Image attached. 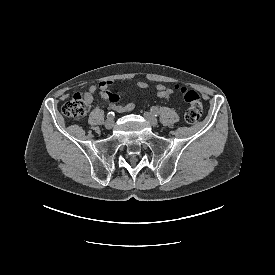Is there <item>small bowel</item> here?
Masks as SVG:
<instances>
[{"instance_id":"c3829d8e","label":"small bowel","mask_w":275,"mask_h":275,"mask_svg":"<svg viewBox=\"0 0 275 275\" xmlns=\"http://www.w3.org/2000/svg\"><path fill=\"white\" fill-rule=\"evenodd\" d=\"M113 84V81H102L98 85H92L84 93V96L88 98L90 102H92L93 96L98 93L104 100L108 102L109 106L115 111L119 113L132 111L135 108L136 103L133 101L125 105L118 104L120 96L116 93L110 92ZM137 86L142 90L150 88V84L146 81H138ZM153 88L155 90L156 96L159 98H163L166 101H169L170 97L173 94V89L165 84H157Z\"/></svg>"}]
</instances>
